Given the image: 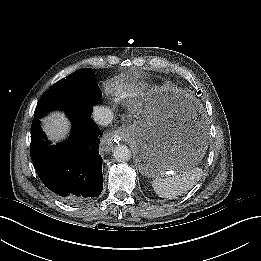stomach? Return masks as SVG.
Wrapping results in <instances>:
<instances>
[{"instance_id":"1","label":"stomach","mask_w":261,"mask_h":261,"mask_svg":"<svg viewBox=\"0 0 261 261\" xmlns=\"http://www.w3.org/2000/svg\"><path fill=\"white\" fill-rule=\"evenodd\" d=\"M187 94L162 88L145 101L139 120L128 129L139 171L147 177H159L168 170L181 172L196 166L205 154L202 138L188 132Z\"/></svg>"}]
</instances>
